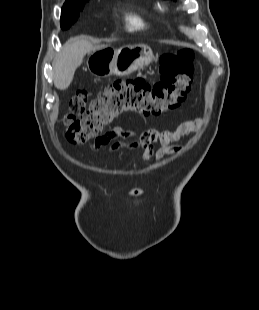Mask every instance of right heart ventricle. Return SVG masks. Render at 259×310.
<instances>
[{
    "label": "right heart ventricle",
    "mask_w": 259,
    "mask_h": 310,
    "mask_svg": "<svg viewBox=\"0 0 259 310\" xmlns=\"http://www.w3.org/2000/svg\"><path fill=\"white\" fill-rule=\"evenodd\" d=\"M126 21L128 28L131 30H144L148 27V24L144 21V19L137 14H128L126 16Z\"/></svg>",
    "instance_id": "right-heart-ventricle-1"
}]
</instances>
